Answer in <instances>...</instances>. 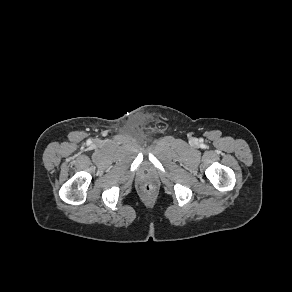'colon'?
<instances>
[{
	"label": "colon",
	"mask_w": 292,
	"mask_h": 292,
	"mask_svg": "<svg viewBox=\"0 0 292 292\" xmlns=\"http://www.w3.org/2000/svg\"><path fill=\"white\" fill-rule=\"evenodd\" d=\"M145 192H152L154 190V185L151 182H147L143 187Z\"/></svg>",
	"instance_id": "5ec220e1"
}]
</instances>
